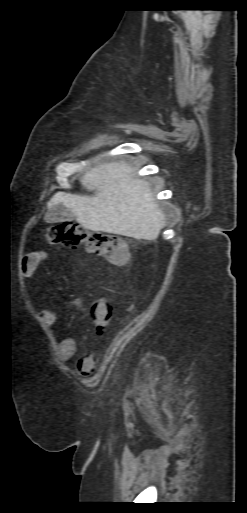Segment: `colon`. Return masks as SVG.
Returning <instances> with one entry per match:
<instances>
[{"label": "colon", "mask_w": 247, "mask_h": 513, "mask_svg": "<svg viewBox=\"0 0 247 513\" xmlns=\"http://www.w3.org/2000/svg\"><path fill=\"white\" fill-rule=\"evenodd\" d=\"M46 237L53 243L81 245L91 253L107 257L114 265L127 266L131 262V251L125 241L112 234L90 232L76 223L55 224L48 228ZM90 313L96 328H107L111 323L113 304L110 300H93Z\"/></svg>", "instance_id": "obj_1"}]
</instances>
